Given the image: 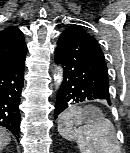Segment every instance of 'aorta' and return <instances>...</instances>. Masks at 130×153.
Wrapping results in <instances>:
<instances>
[{"label":"aorta","instance_id":"aorta-1","mask_svg":"<svg viewBox=\"0 0 130 153\" xmlns=\"http://www.w3.org/2000/svg\"><path fill=\"white\" fill-rule=\"evenodd\" d=\"M63 80V71L61 68L57 67V74L54 75V81L57 86H59L62 83Z\"/></svg>","mask_w":130,"mask_h":153}]
</instances>
